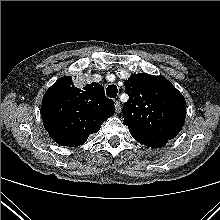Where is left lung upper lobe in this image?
Wrapping results in <instances>:
<instances>
[{
  "mask_svg": "<svg viewBox=\"0 0 220 220\" xmlns=\"http://www.w3.org/2000/svg\"><path fill=\"white\" fill-rule=\"evenodd\" d=\"M125 90L129 100L123 106V123L131 134L166 140L177 136L185 121V99L167 79L132 74Z\"/></svg>",
  "mask_w": 220,
  "mask_h": 220,
  "instance_id": "1",
  "label": "left lung upper lobe"
}]
</instances>
